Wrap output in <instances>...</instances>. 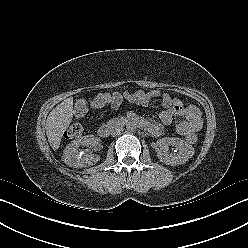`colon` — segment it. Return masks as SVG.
Instances as JSON below:
<instances>
[{
	"mask_svg": "<svg viewBox=\"0 0 248 248\" xmlns=\"http://www.w3.org/2000/svg\"><path fill=\"white\" fill-rule=\"evenodd\" d=\"M110 101V97L107 96L106 94H101L98 97H96L92 105L95 107H102ZM88 111V102L85 99H79L75 102L74 104V115L78 118L81 119L85 117ZM83 134V127L80 124H72L65 132V137L68 139H76L81 137ZM190 144H194L197 142V136L191 135L187 138L186 140Z\"/></svg>",
	"mask_w": 248,
	"mask_h": 248,
	"instance_id": "5ec220e1",
	"label": "colon"
}]
</instances>
